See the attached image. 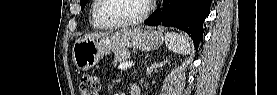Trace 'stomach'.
<instances>
[{"label":"stomach","mask_w":277,"mask_h":95,"mask_svg":"<svg viewBox=\"0 0 277 95\" xmlns=\"http://www.w3.org/2000/svg\"><path fill=\"white\" fill-rule=\"evenodd\" d=\"M163 40L162 32L151 27L124 29L97 38L84 36L75 41L72 58L77 69L87 71L111 51L131 47L148 52L157 49Z\"/></svg>","instance_id":"obj_1"}]
</instances>
